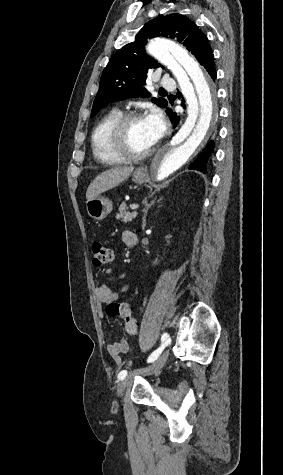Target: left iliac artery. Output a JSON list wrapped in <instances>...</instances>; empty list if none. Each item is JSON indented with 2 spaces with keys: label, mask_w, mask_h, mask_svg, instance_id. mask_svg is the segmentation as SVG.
<instances>
[{
  "label": "left iliac artery",
  "mask_w": 283,
  "mask_h": 475,
  "mask_svg": "<svg viewBox=\"0 0 283 475\" xmlns=\"http://www.w3.org/2000/svg\"><path fill=\"white\" fill-rule=\"evenodd\" d=\"M169 335L167 333H164L161 337V346L156 349L149 357L147 362L151 363L154 362L162 353L163 349L168 345V341L170 342V339H168ZM127 376V371L123 370L118 374V379L123 380Z\"/></svg>",
  "instance_id": "obj_1"
}]
</instances>
